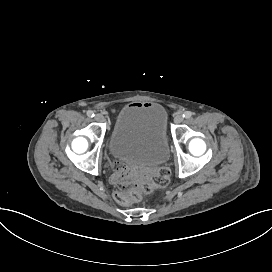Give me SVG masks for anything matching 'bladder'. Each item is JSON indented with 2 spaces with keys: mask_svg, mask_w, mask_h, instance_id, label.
<instances>
[{
  "mask_svg": "<svg viewBox=\"0 0 272 272\" xmlns=\"http://www.w3.org/2000/svg\"><path fill=\"white\" fill-rule=\"evenodd\" d=\"M167 117L158 103L126 105L108 136L109 154L116 160L156 168L168 162Z\"/></svg>",
  "mask_w": 272,
  "mask_h": 272,
  "instance_id": "obj_1",
  "label": "bladder"
}]
</instances>
